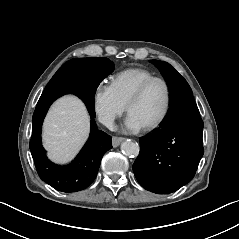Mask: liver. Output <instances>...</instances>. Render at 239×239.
I'll return each instance as SVG.
<instances>
[{
	"instance_id": "liver-1",
	"label": "liver",
	"mask_w": 239,
	"mask_h": 239,
	"mask_svg": "<svg viewBox=\"0 0 239 239\" xmlns=\"http://www.w3.org/2000/svg\"><path fill=\"white\" fill-rule=\"evenodd\" d=\"M90 117L75 96H64L50 107L42 131L44 148L52 161L64 164L78 153L88 138Z\"/></svg>"
}]
</instances>
